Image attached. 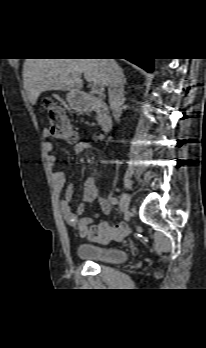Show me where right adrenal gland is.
Masks as SVG:
<instances>
[{"instance_id":"right-adrenal-gland-1","label":"right adrenal gland","mask_w":206,"mask_h":348,"mask_svg":"<svg viewBox=\"0 0 206 348\" xmlns=\"http://www.w3.org/2000/svg\"><path fill=\"white\" fill-rule=\"evenodd\" d=\"M122 79H123V83L126 84V78H125V75L123 73V70H122Z\"/></svg>"}]
</instances>
